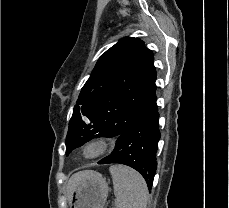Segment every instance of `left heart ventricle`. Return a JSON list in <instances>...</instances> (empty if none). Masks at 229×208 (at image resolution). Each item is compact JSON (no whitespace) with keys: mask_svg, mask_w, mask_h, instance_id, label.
<instances>
[{"mask_svg":"<svg viewBox=\"0 0 229 208\" xmlns=\"http://www.w3.org/2000/svg\"><path fill=\"white\" fill-rule=\"evenodd\" d=\"M105 140V139H104ZM96 142H101L100 140L96 141ZM104 142H108L107 140H105ZM109 143V142H108ZM107 147H86L84 150L85 155L87 156H93L96 155L100 152H102L103 150H105Z\"/></svg>","mask_w":229,"mask_h":208,"instance_id":"1","label":"left heart ventricle"}]
</instances>
